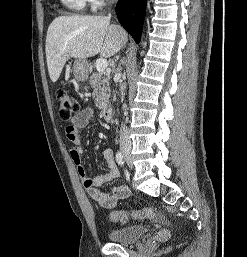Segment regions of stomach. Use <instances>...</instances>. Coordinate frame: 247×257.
Wrapping results in <instances>:
<instances>
[{
    "mask_svg": "<svg viewBox=\"0 0 247 257\" xmlns=\"http://www.w3.org/2000/svg\"><path fill=\"white\" fill-rule=\"evenodd\" d=\"M73 74L77 81H85L88 77L87 61L77 59L73 64Z\"/></svg>",
    "mask_w": 247,
    "mask_h": 257,
    "instance_id": "1",
    "label": "stomach"
}]
</instances>
